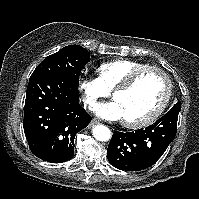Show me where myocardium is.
<instances>
[{
    "label": "myocardium",
    "instance_id": "obj_1",
    "mask_svg": "<svg viewBox=\"0 0 199 199\" xmlns=\"http://www.w3.org/2000/svg\"><path fill=\"white\" fill-rule=\"evenodd\" d=\"M149 72H157L159 73L161 76L164 77L165 81H166V93L164 98L162 99L161 103L158 105V107L147 117L140 119V120H136V121H130V120H123V124L124 126L128 127V128H133V129H137V128H142V127H146L152 123H154L165 111V109L167 108L171 97H172V93H173V82L172 79L170 77V75L163 70L160 67H156V66H146L143 67L141 69H138L136 71H134L133 73H131L127 79L122 82L120 85H118L117 87H115L112 90V97L114 99L115 95L118 93H124L129 91L130 89H132L135 84L139 81V79L149 73Z\"/></svg>",
    "mask_w": 199,
    "mask_h": 199
}]
</instances>
